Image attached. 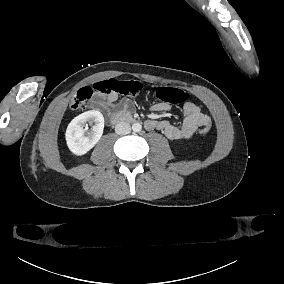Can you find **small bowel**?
I'll list each match as a JSON object with an SVG mask.
<instances>
[{"label": "small bowel", "mask_w": 284, "mask_h": 284, "mask_svg": "<svg viewBox=\"0 0 284 284\" xmlns=\"http://www.w3.org/2000/svg\"><path fill=\"white\" fill-rule=\"evenodd\" d=\"M94 104L99 109L104 110H122L126 113H132L135 109L133 102L129 98L119 100V95L111 93L106 97L97 98ZM170 106L167 103L160 102L152 106L156 112L168 111ZM183 122L180 126L173 125L166 120H149L146 122V128L150 130H161L170 140H187L202 126L210 125L211 118L202 112L199 106L192 102H187L183 106Z\"/></svg>", "instance_id": "c3829d8e"}]
</instances>
